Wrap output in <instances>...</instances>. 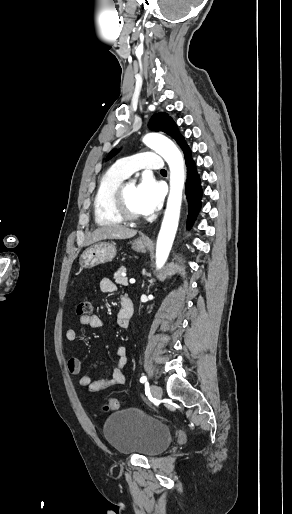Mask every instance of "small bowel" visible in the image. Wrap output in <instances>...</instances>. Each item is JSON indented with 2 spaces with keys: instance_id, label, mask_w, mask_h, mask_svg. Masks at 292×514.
Returning a JSON list of instances; mask_svg holds the SVG:
<instances>
[{
  "instance_id": "small-bowel-1",
  "label": "small bowel",
  "mask_w": 292,
  "mask_h": 514,
  "mask_svg": "<svg viewBox=\"0 0 292 514\" xmlns=\"http://www.w3.org/2000/svg\"><path fill=\"white\" fill-rule=\"evenodd\" d=\"M100 290L105 294H112L116 291L115 283L109 278H102L99 283ZM81 326H88L92 329H99L102 327V319L98 314H89L79 318ZM117 325L120 329H127L130 325V318H127L121 306L117 312ZM79 337V330L77 327H70L66 332L68 341H76ZM119 360L114 366L112 373L109 377L93 381L91 376L84 374L79 376L78 384L86 386L90 392H100L111 388L113 386L121 385L126 382L124 373V366L127 362L126 348L118 346L116 349ZM68 371L71 375L78 376L82 371V361L77 357H72L68 360Z\"/></svg>"
}]
</instances>
